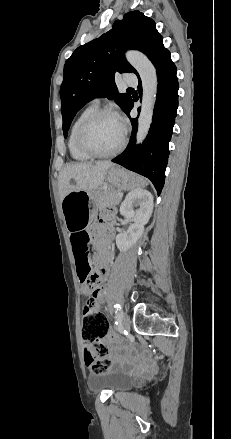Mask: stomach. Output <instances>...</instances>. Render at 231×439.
<instances>
[{"label": "stomach", "mask_w": 231, "mask_h": 439, "mask_svg": "<svg viewBox=\"0 0 231 439\" xmlns=\"http://www.w3.org/2000/svg\"><path fill=\"white\" fill-rule=\"evenodd\" d=\"M105 180L112 189L129 190L146 184L142 177L120 167H111L106 172ZM103 192L102 187L92 191L74 190L64 197L61 207L69 230H81L87 226L91 216L96 212V204Z\"/></svg>", "instance_id": "obj_1"}]
</instances>
